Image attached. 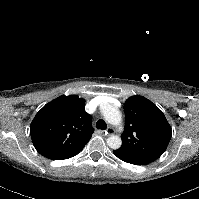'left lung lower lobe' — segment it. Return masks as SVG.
Instances as JSON below:
<instances>
[{"label":"left lung lower lobe","instance_id":"left-lung-lower-lobe-1","mask_svg":"<svg viewBox=\"0 0 199 199\" xmlns=\"http://www.w3.org/2000/svg\"><path fill=\"white\" fill-rule=\"evenodd\" d=\"M113 153L119 159H121V160H123V161H125L127 163H130V164H134V165H146V164H149V162H147L145 160H142V159H139V158H136V157L121 153V152H119L117 150H113Z\"/></svg>","mask_w":199,"mask_h":199}]
</instances>
